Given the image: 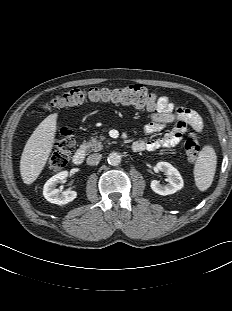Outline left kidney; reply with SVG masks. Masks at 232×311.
I'll return each instance as SVG.
<instances>
[{
  "label": "left kidney",
  "mask_w": 232,
  "mask_h": 311,
  "mask_svg": "<svg viewBox=\"0 0 232 311\" xmlns=\"http://www.w3.org/2000/svg\"><path fill=\"white\" fill-rule=\"evenodd\" d=\"M156 168L168 175V183L161 185L157 180H153L150 186L155 193L159 195H170L183 188L184 182L179 171L170 163L159 162Z\"/></svg>",
  "instance_id": "left-kidney-1"
}]
</instances>
